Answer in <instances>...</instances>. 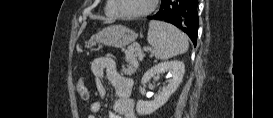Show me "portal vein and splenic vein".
<instances>
[{"instance_id":"1","label":"portal vein and splenic vein","mask_w":273,"mask_h":118,"mask_svg":"<svg viewBox=\"0 0 273 118\" xmlns=\"http://www.w3.org/2000/svg\"><path fill=\"white\" fill-rule=\"evenodd\" d=\"M147 50H151V49H148V48H144V51H147Z\"/></svg>"}]
</instances>
